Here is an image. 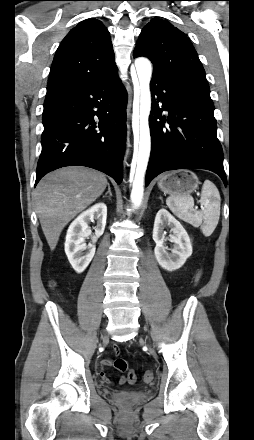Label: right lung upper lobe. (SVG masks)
Wrapping results in <instances>:
<instances>
[{
  "instance_id": "cb5924a9",
  "label": "right lung upper lobe",
  "mask_w": 254,
  "mask_h": 440,
  "mask_svg": "<svg viewBox=\"0 0 254 440\" xmlns=\"http://www.w3.org/2000/svg\"><path fill=\"white\" fill-rule=\"evenodd\" d=\"M117 74L109 32L97 19H86L59 45L52 63L47 93L82 81Z\"/></svg>"
}]
</instances>
